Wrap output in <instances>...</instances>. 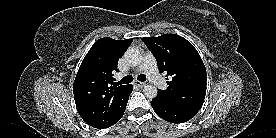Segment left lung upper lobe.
I'll return each mask as SVG.
<instances>
[{
  "label": "left lung upper lobe",
  "instance_id": "left-lung-upper-lobe-1",
  "mask_svg": "<svg viewBox=\"0 0 276 138\" xmlns=\"http://www.w3.org/2000/svg\"><path fill=\"white\" fill-rule=\"evenodd\" d=\"M142 41L155 56L161 73L171 76L166 90H158L165 101L198 112L206 94V69L194 48L176 34L144 37ZM168 80V78H167Z\"/></svg>",
  "mask_w": 276,
  "mask_h": 138
}]
</instances>
